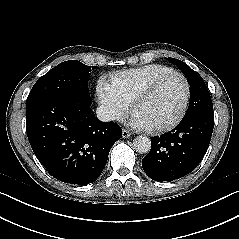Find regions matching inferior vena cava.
Returning <instances> with one entry per match:
<instances>
[{"label":"inferior vena cava","mask_w":239,"mask_h":239,"mask_svg":"<svg viewBox=\"0 0 239 239\" xmlns=\"http://www.w3.org/2000/svg\"><path fill=\"white\" fill-rule=\"evenodd\" d=\"M96 116L99 120L103 122H109L116 119L115 113L106 106H99L96 109Z\"/></svg>","instance_id":"inferior-vena-cava-1"}]
</instances>
